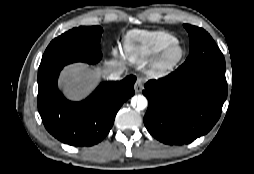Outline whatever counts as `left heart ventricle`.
I'll return each instance as SVG.
<instances>
[{"instance_id": "1", "label": "left heart ventricle", "mask_w": 254, "mask_h": 174, "mask_svg": "<svg viewBox=\"0 0 254 174\" xmlns=\"http://www.w3.org/2000/svg\"><path fill=\"white\" fill-rule=\"evenodd\" d=\"M177 54V50H175L173 53H172V56H175Z\"/></svg>"}]
</instances>
